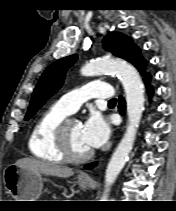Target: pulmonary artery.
Wrapping results in <instances>:
<instances>
[{"mask_svg":"<svg viewBox=\"0 0 176 211\" xmlns=\"http://www.w3.org/2000/svg\"><path fill=\"white\" fill-rule=\"evenodd\" d=\"M113 90L109 83L92 81L80 88L74 89L63 95L57 103L68 113H74L84 102L93 99H111Z\"/></svg>","mask_w":176,"mask_h":211,"instance_id":"e3ab8cb5","label":"pulmonary artery"}]
</instances>
